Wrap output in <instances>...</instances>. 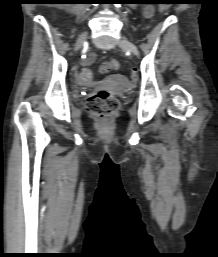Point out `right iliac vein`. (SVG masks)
<instances>
[{"mask_svg": "<svg viewBox=\"0 0 218 257\" xmlns=\"http://www.w3.org/2000/svg\"><path fill=\"white\" fill-rule=\"evenodd\" d=\"M86 38H87V33H83L79 36L75 45V51H78L83 46Z\"/></svg>", "mask_w": 218, "mask_h": 257, "instance_id": "right-iliac-vein-1", "label": "right iliac vein"}]
</instances>
